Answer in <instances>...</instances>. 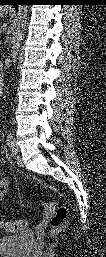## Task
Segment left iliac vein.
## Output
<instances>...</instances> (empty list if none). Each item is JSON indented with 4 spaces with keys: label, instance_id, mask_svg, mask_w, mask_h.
<instances>
[{
    "label": "left iliac vein",
    "instance_id": "1",
    "mask_svg": "<svg viewBox=\"0 0 106 257\" xmlns=\"http://www.w3.org/2000/svg\"><path fill=\"white\" fill-rule=\"evenodd\" d=\"M18 152H19V147H18V145L15 143V141L13 140V145H12V147H11V154H12L13 156H16V155L18 154Z\"/></svg>",
    "mask_w": 106,
    "mask_h": 257
}]
</instances>
